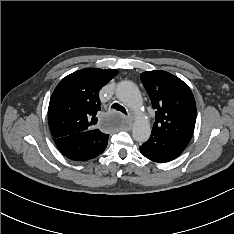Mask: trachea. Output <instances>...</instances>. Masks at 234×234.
Instances as JSON below:
<instances>
[{"mask_svg":"<svg viewBox=\"0 0 234 234\" xmlns=\"http://www.w3.org/2000/svg\"><path fill=\"white\" fill-rule=\"evenodd\" d=\"M111 108H112V109H115V110H117V111H120V112L124 113L125 115H127L126 109H125L123 106H121L120 104H118V103H114V104L111 106Z\"/></svg>","mask_w":234,"mask_h":234,"instance_id":"obj_1","label":"trachea"}]
</instances>
